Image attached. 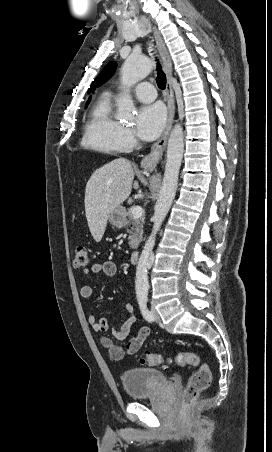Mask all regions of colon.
<instances>
[{
    "mask_svg": "<svg viewBox=\"0 0 272 452\" xmlns=\"http://www.w3.org/2000/svg\"><path fill=\"white\" fill-rule=\"evenodd\" d=\"M73 267L76 269L86 268L90 265L91 260L88 249L85 245H78L75 248L73 256ZM138 351V341L132 340L127 343L124 353L128 355L135 354ZM142 365L167 367L175 363L178 366L191 365L196 367V371L189 378L183 393V406L191 404L198 394L207 389L211 383V370L199 355L193 352H179L174 357L165 356L157 353H146L139 358Z\"/></svg>",
    "mask_w": 272,
    "mask_h": 452,
    "instance_id": "5ec220e1",
    "label": "colon"
}]
</instances>
